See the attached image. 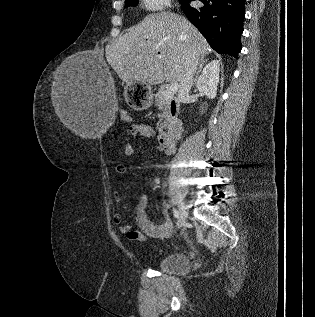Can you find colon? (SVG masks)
Returning a JSON list of instances; mask_svg holds the SVG:
<instances>
[{
  "label": "colon",
  "mask_w": 315,
  "mask_h": 317,
  "mask_svg": "<svg viewBox=\"0 0 315 317\" xmlns=\"http://www.w3.org/2000/svg\"><path fill=\"white\" fill-rule=\"evenodd\" d=\"M122 118H123V120H125V121H127V122L131 121L130 116H129L128 114H126V113H124V114L122 115Z\"/></svg>",
  "instance_id": "5ec220e1"
}]
</instances>
